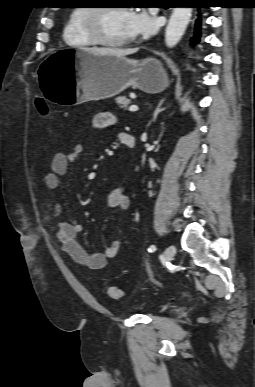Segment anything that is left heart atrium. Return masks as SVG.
Returning a JSON list of instances; mask_svg holds the SVG:
<instances>
[{
  "label": "left heart atrium",
  "mask_w": 255,
  "mask_h": 387,
  "mask_svg": "<svg viewBox=\"0 0 255 387\" xmlns=\"http://www.w3.org/2000/svg\"><path fill=\"white\" fill-rule=\"evenodd\" d=\"M128 29L131 37L149 36L156 31L157 24L155 19L144 11L129 12Z\"/></svg>",
  "instance_id": "39dd6f15"
}]
</instances>
